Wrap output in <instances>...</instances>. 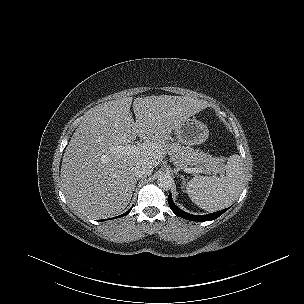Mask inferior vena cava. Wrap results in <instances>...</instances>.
<instances>
[{"label":"inferior vena cava","instance_id":"obj_1","mask_svg":"<svg viewBox=\"0 0 304 304\" xmlns=\"http://www.w3.org/2000/svg\"><path fill=\"white\" fill-rule=\"evenodd\" d=\"M153 172V166L149 163H138L134 168V175L136 178H145L150 176Z\"/></svg>","mask_w":304,"mask_h":304}]
</instances>
